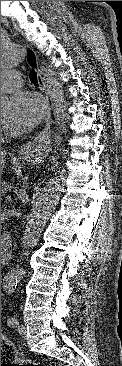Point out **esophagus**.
<instances>
[{"label": "esophagus", "mask_w": 122, "mask_h": 366, "mask_svg": "<svg viewBox=\"0 0 122 366\" xmlns=\"http://www.w3.org/2000/svg\"><path fill=\"white\" fill-rule=\"evenodd\" d=\"M25 55H26V60H27L28 64L32 68H34L36 73H37L38 83H39V86H40L41 90L45 94V103H46V107H47L46 116H45V123L46 124H45L44 129L38 135V140H36L32 144L26 145L23 149L24 154L29 156V155L33 154L34 152H37L38 150L47 149L50 145L51 108H50V103H49V97H48V94H47V91H46V86H45V83H44V78H43L42 72L39 68L36 53L30 47L25 46Z\"/></svg>", "instance_id": "1"}]
</instances>
